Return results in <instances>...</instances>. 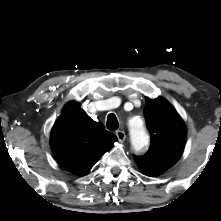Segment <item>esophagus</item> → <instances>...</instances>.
<instances>
[{"instance_id":"esophagus-1","label":"esophagus","mask_w":221,"mask_h":221,"mask_svg":"<svg viewBox=\"0 0 221 221\" xmlns=\"http://www.w3.org/2000/svg\"><path fill=\"white\" fill-rule=\"evenodd\" d=\"M116 136L120 142H123L126 138L125 132L122 130L116 131Z\"/></svg>"}]
</instances>
